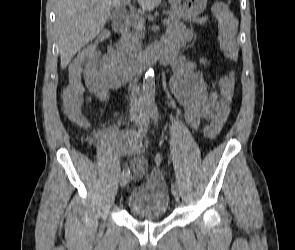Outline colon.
Masks as SVG:
<instances>
[{"mask_svg": "<svg viewBox=\"0 0 295 250\" xmlns=\"http://www.w3.org/2000/svg\"><path fill=\"white\" fill-rule=\"evenodd\" d=\"M214 15L218 21L219 28V45L224 56L234 61L237 56L236 46V21L224 3H217L214 6ZM105 33H102L97 40L86 46L84 50L94 53L98 51V44L105 39ZM235 80L231 73H227L221 78V113L205 128V135L208 139L216 137L223 127L229 114V106L234 94ZM82 93V85L80 80L73 77H68L67 84L62 93V107L64 114L73 123L85 127L87 120L83 115L80 107V95Z\"/></svg>", "mask_w": 295, "mask_h": 250, "instance_id": "1", "label": "colon"}]
</instances>
